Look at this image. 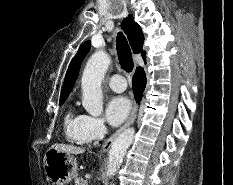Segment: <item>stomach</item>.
Masks as SVG:
<instances>
[{
	"mask_svg": "<svg viewBox=\"0 0 233 185\" xmlns=\"http://www.w3.org/2000/svg\"><path fill=\"white\" fill-rule=\"evenodd\" d=\"M43 167L52 185H65L77 177V162L74 156L52 147L45 153Z\"/></svg>",
	"mask_w": 233,
	"mask_h": 185,
	"instance_id": "stomach-1",
	"label": "stomach"
}]
</instances>
